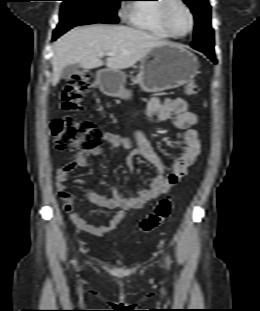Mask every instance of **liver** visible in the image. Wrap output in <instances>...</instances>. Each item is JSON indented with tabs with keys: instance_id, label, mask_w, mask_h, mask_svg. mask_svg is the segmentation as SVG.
Masks as SVG:
<instances>
[{
	"instance_id": "1",
	"label": "liver",
	"mask_w": 260,
	"mask_h": 311,
	"mask_svg": "<svg viewBox=\"0 0 260 311\" xmlns=\"http://www.w3.org/2000/svg\"><path fill=\"white\" fill-rule=\"evenodd\" d=\"M145 31L128 26L90 25L76 27L63 35L54 46L51 60L52 84L60 79L64 67L80 64L84 69L101 67L100 53H114L106 60L111 70L126 69L143 59L149 51L167 44Z\"/></svg>"
}]
</instances>
